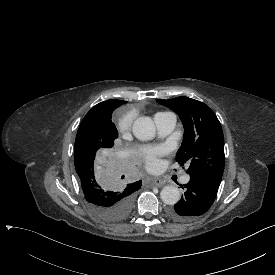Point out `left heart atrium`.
I'll list each match as a JSON object with an SVG mask.
<instances>
[{"label": "left heart atrium", "mask_w": 275, "mask_h": 275, "mask_svg": "<svg viewBox=\"0 0 275 275\" xmlns=\"http://www.w3.org/2000/svg\"><path fill=\"white\" fill-rule=\"evenodd\" d=\"M164 148L158 147H143L136 149L134 154L139 162L144 163L149 169H153L158 163V156L163 154Z\"/></svg>", "instance_id": "left-heart-atrium-1"}]
</instances>
